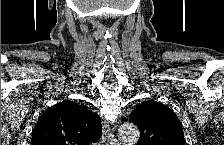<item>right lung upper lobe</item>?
Returning a JSON list of instances; mask_svg holds the SVG:
<instances>
[{
	"instance_id": "obj_1",
	"label": "right lung upper lobe",
	"mask_w": 224,
	"mask_h": 145,
	"mask_svg": "<svg viewBox=\"0 0 224 145\" xmlns=\"http://www.w3.org/2000/svg\"><path fill=\"white\" fill-rule=\"evenodd\" d=\"M101 134L98 115L64 100L43 112L34 127L31 145H89Z\"/></svg>"
}]
</instances>
